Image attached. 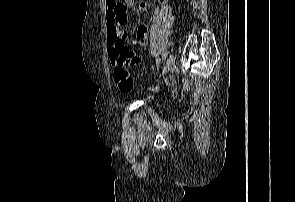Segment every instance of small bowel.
<instances>
[{
  "mask_svg": "<svg viewBox=\"0 0 295 202\" xmlns=\"http://www.w3.org/2000/svg\"><path fill=\"white\" fill-rule=\"evenodd\" d=\"M161 3H165V0H161ZM131 4L132 0H125L124 4H118L116 0H105L108 55L113 66L118 60L129 62V66L139 64L142 57L136 52V47H144L148 43V26L141 24L136 30L133 45L126 44L122 25L127 21L126 9ZM147 9L148 3L142 1L139 10L145 12Z\"/></svg>",
  "mask_w": 295,
  "mask_h": 202,
  "instance_id": "obj_1",
  "label": "small bowel"
}]
</instances>
